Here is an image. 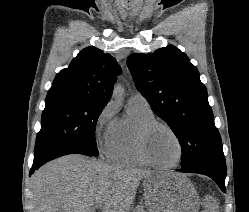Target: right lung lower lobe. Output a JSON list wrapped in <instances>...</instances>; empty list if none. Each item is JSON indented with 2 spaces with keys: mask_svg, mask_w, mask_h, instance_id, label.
<instances>
[{
  "mask_svg": "<svg viewBox=\"0 0 249 212\" xmlns=\"http://www.w3.org/2000/svg\"><path fill=\"white\" fill-rule=\"evenodd\" d=\"M75 153L83 154V151L78 147H74L70 145H63V146L49 148L39 153H35V158H34L33 166L30 171V176L35 170H37L40 166H42L46 162L53 160L55 158H58L60 156H63V155L75 154Z\"/></svg>",
  "mask_w": 249,
  "mask_h": 212,
  "instance_id": "right-lung-lower-lobe-1",
  "label": "right lung lower lobe"
}]
</instances>
